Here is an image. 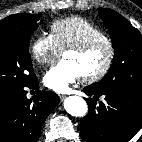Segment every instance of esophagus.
Returning <instances> with one entry per match:
<instances>
[{"label": "esophagus", "instance_id": "esophagus-1", "mask_svg": "<svg viewBox=\"0 0 142 142\" xmlns=\"http://www.w3.org/2000/svg\"><path fill=\"white\" fill-rule=\"evenodd\" d=\"M60 100L63 101L66 98V95H59Z\"/></svg>", "mask_w": 142, "mask_h": 142}]
</instances>
